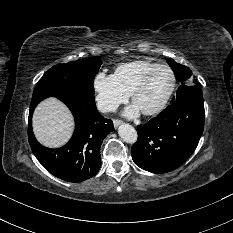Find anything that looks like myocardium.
I'll use <instances>...</instances> for the list:
<instances>
[{"label":"myocardium","mask_w":233,"mask_h":233,"mask_svg":"<svg viewBox=\"0 0 233 233\" xmlns=\"http://www.w3.org/2000/svg\"><path fill=\"white\" fill-rule=\"evenodd\" d=\"M160 69H167L171 73L172 84H171V87H170L168 93L166 94V96L160 102V104L158 106H156L154 109L142 112V114L145 116H154V115L161 113L168 105L170 99L172 98V96L175 92L176 86H177V78H176V74H175L174 70L168 65L160 64V65L152 68L151 70H149L139 80V82L135 85V87L133 88V90L130 93L132 102L134 103L135 97L137 96V94L139 92H141L145 88V86L147 85V83H148L149 79L152 77V75Z\"/></svg>","instance_id":"1"}]
</instances>
